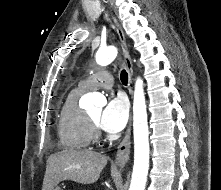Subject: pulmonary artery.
I'll return each mask as SVG.
<instances>
[{
	"label": "pulmonary artery",
	"mask_w": 221,
	"mask_h": 190,
	"mask_svg": "<svg viewBox=\"0 0 221 190\" xmlns=\"http://www.w3.org/2000/svg\"><path fill=\"white\" fill-rule=\"evenodd\" d=\"M113 85V77L107 70H100L80 82V86L85 90H94L100 87L110 89Z\"/></svg>",
	"instance_id": "e3ab8cb5"
}]
</instances>
